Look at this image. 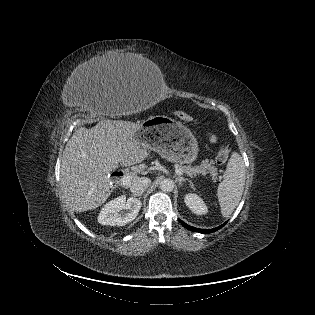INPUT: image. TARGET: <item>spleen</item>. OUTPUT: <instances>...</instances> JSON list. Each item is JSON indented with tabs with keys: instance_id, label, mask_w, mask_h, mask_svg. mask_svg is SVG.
<instances>
[{
	"instance_id": "spleen-1",
	"label": "spleen",
	"mask_w": 315,
	"mask_h": 315,
	"mask_svg": "<svg viewBox=\"0 0 315 315\" xmlns=\"http://www.w3.org/2000/svg\"><path fill=\"white\" fill-rule=\"evenodd\" d=\"M246 168L242 157L234 152L217 189L223 217H228L239 204L245 185Z\"/></svg>"
}]
</instances>
